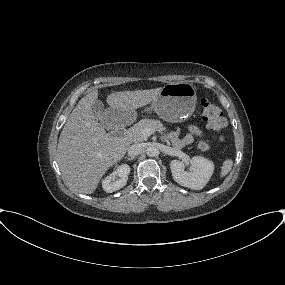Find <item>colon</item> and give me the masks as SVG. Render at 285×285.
<instances>
[{
	"mask_svg": "<svg viewBox=\"0 0 285 285\" xmlns=\"http://www.w3.org/2000/svg\"><path fill=\"white\" fill-rule=\"evenodd\" d=\"M202 108V117L206 123L208 130L220 133L227 125L226 119L222 116V112L218 104L208 98H203L200 101ZM219 139L222 141L223 137L220 136ZM198 147L201 151H208L210 148L209 142L203 135Z\"/></svg>",
	"mask_w": 285,
	"mask_h": 285,
	"instance_id": "colon-1",
	"label": "colon"
}]
</instances>
